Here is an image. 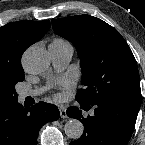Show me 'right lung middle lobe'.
Wrapping results in <instances>:
<instances>
[{"mask_svg": "<svg viewBox=\"0 0 145 145\" xmlns=\"http://www.w3.org/2000/svg\"><path fill=\"white\" fill-rule=\"evenodd\" d=\"M24 75H21L17 80L13 81L5 87H0V102L2 101H16L18 94L15 92V85L17 82L23 81Z\"/></svg>", "mask_w": 145, "mask_h": 145, "instance_id": "1", "label": "right lung middle lobe"}]
</instances>
